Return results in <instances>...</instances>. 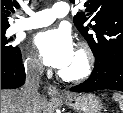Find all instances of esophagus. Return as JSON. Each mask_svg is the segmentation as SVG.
I'll return each instance as SVG.
<instances>
[{
  "instance_id": "34e87169",
  "label": "esophagus",
  "mask_w": 123,
  "mask_h": 113,
  "mask_svg": "<svg viewBox=\"0 0 123 113\" xmlns=\"http://www.w3.org/2000/svg\"><path fill=\"white\" fill-rule=\"evenodd\" d=\"M47 92L52 96H62L64 95L61 91L58 90V88L54 85H47Z\"/></svg>"
}]
</instances>
